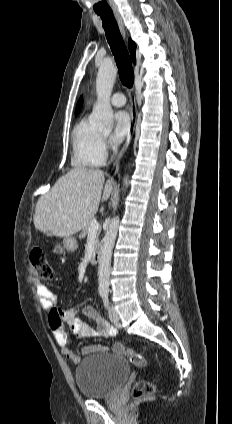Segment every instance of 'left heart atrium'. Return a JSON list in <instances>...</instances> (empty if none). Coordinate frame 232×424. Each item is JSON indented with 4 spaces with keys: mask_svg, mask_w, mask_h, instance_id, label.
Listing matches in <instances>:
<instances>
[{
    "mask_svg": "<svg viewBox=\"0 0 232 424\" xmlns=\"http://www.w3.org/2000/svg\"><path fill=\"white\" fill-rule=\"evenodd\" d=\"M131 129V118L126 111H119L115 114V127L113 132V142H122L129 134Z\"/></svg>",
    "mask_w": 232,
    "mask_h": 424,
    "instance_id": "obj_1",
    "label": "left heart atrium"
}]
</instances>
